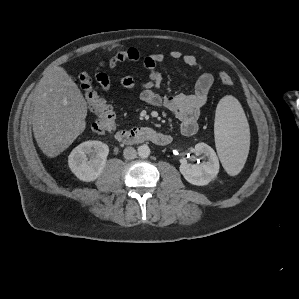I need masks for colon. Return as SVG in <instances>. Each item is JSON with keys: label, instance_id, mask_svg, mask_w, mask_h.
<instances>
[{"label": "colon", "instance_id": "5ec220e1", "mask_svg": "<svg viewBox=\"0 0 299 299\" xmlns=\"http://www.w3.org/2000/svg\"><path fill=\"white\" fill-rule=\"evenodd\" d=\"M219 78L224 85L233 86V79L227 72H220ZM78 79L84 98L96 115L92 130L100 135L110 134L116 126L117 114L115 109L97 93L92 85V77L88 73H81Z\"/></svg>", "mask_w": 299, "mask_h": 299}]
</instances>
